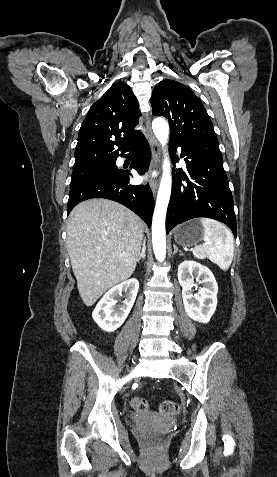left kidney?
<instances>
[{
  "label": "left kidney",
  "mask_w": 277,
  "mask_h": 477,
  "mask_svg": "<svg viewBox=\"0 0 277 477\" xmlns=\"http://www.w3.org/2000/svg\"><path fill=\"white\" fill-rule=\"evenodd\" d=\"M194 278L203 284L197 294L192 292ZM178 280L187 315L194 321L208 323L217 306L218 285L213 273L198 262L184 261L178 267Z\"/></svg>",
  "instance_id": "5707ae66"
}]
</instances>
